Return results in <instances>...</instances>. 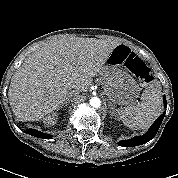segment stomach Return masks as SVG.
<instances>
[{
  "mask_svg": "<svg viewBox=\"0 0 178 178\" xmlns=\"http://www.w3.org/2000/svg\"><path fill=\"white\" fill-rule=\"evenodd\" d=\"M127 59V56H117L114 49L99 73L104 93L111 102L121 106H131L140 94V87L127 68Z\"/></svg>",
  "mask_w": 178,
  "mask_h": 178,
  "instance_id": "1",
  "label": "stomach"
}]
</instances>
